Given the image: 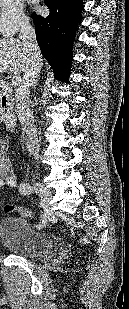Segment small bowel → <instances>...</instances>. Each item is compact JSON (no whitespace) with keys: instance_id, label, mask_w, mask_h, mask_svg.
I'll use <instances>...</instances> for the list:
<instances>
[{"instance_id":"1","label":"small bowel","mask_w":129,"mask_h":309,"mask_svg":"<svg viewBox=\"0 0 129 309\" xmlns=\"http://www.w3.org/2000/svg\"><path fill=\"white\" fill-rule=\"evenodd\" d=\"M17 186V177L6 154V141L0 137V189Z\"/></svg>"}]
</instances>
